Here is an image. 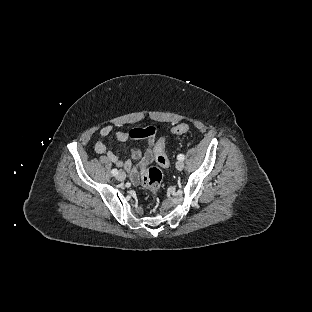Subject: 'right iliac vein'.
<instances>
[{"label":"right iliac vein","instance_id":"right-iliac-vein-1","mask_svg":"<svg viewBox=\"0 0 312 312\" xmlns=\"http://www.w3.org/2000/svg\"><path fill=\"white\" fill-rule=\"evenodd\" d=\"M126 178V174L123 171H120L117 175V180L118 181H124Z\"/></svg>","mask_w":312,"mask_h":312}]
</instances>
